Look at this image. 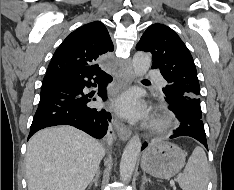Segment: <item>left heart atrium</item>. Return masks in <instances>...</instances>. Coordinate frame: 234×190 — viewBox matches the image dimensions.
<instances>
[{
	"mask_svg": "<svg viewBox=\"0 0 234 190\" xmlns=\"http://www.w3.org/2000/svg\"><path fill=\"white\" fill-rule=\"evenodd\" d=\"M115 109L130 119H138L145 115V109L133 93H127L114 103Z\"/></svg>",
	"mask_w": 234,
	"mask_h": 190,
	"instance_id": "obj_1",
	"label": "left heart atrium"
}]
</instances>
